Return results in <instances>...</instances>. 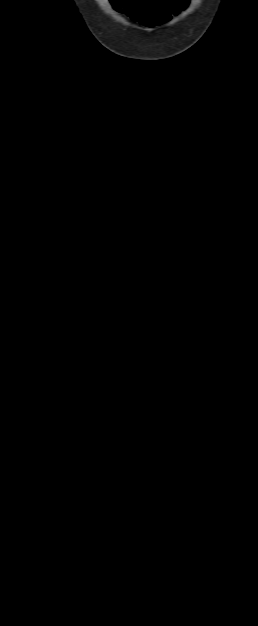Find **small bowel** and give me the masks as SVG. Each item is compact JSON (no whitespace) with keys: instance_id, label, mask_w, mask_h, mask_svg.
I'll list each match as a JSON object with an SVG mask.
<instances>
[{"instance_id":"small-bowel-1","label":"small bowel","mask_w":258,"mask_h":626,"mask_svg":"<svg viewBox=\"0 0 258 626\" xmlns=\"http://www.w3.org/2000/svg\"><path fill=\"white\" fill-rule=\"evenodd\" d=\"M183 5H184V3H180V4H179V6H178L177 8H179L180 6H183ZM173 12L175 13V12H176V10L174 9V10H173Z\"/></svg>"}]
</instances>
